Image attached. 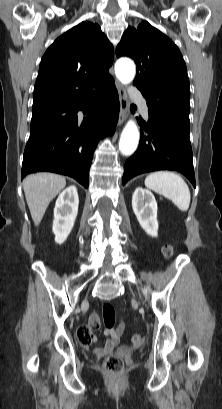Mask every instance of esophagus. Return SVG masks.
Here are the masks:
<instances>
[{"label": "esophagus", "instance_id": "esophagus-1", "mask_svg": "<svg viewBox=\"0 0 222 409\" xmlns=\"http://www.w3.org/2000/svg\"><path fill=\"white\" fill-rule=\"evenodd\" d=\"M115 86L118 91L119 102H120V111L118 118V125H122L126 118V107H127V97L124 89L118 81H115Z\"/></svg>", "mask_w": 222, "mask_h": 409}]
</instances>
